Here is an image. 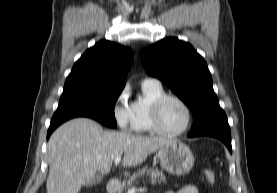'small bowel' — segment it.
<instances>
[{"label": "small bowel", "instance_id": "obj_1", "mask_svg": "<svg viewBox=\"0 0 277 193\" xmlns=\"http://www.w3.org/2000/svg\"><path fill=\"white\" fill-rule=\"evenodd\" d=\"M165 193H199L195 185H185L177 191H167Z\"/></svg>", "mask_w": 277, "mask_h": 193}]
</instances>
